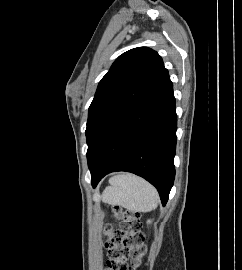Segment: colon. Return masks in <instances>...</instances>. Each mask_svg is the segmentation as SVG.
Here are the masks:
<instances>
[{
	"label": "colon",
	"instance_id": "5ec220e1",
	"mask_svg": "<svg viewBox=\"0 0 242 270\" xmlns=\"http://www.w3.org/2000/svg\"><path fill=\"white\" fill-rule=\"evenodd\" d=\"M116 215L124 224L121 231H113L109 227L106 229V270H134L141 264L147 251L139 216L133 211L119 207H116Z\"/></svg>",
	"mask_w": 242,
	"mask_h": 270
}]
</instances>
